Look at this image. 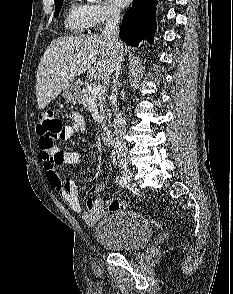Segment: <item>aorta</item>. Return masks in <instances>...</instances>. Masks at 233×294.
I'll return each mask as SVG.
<instances>
[{
	"label": "aorta",
	"instance_id": "obj_1",
	"mask_svg": "<svg viewBox=\"0 0 233 294\" xmlns=\"http://www.w3.org/2000/svg\"><path fill=\"white\" fill-rule=\"evenodd\" d=\"M90 3H100L101 0H87ZM113 126H115V123L113 124Z\"/></svg>",
	"mask_w": 233,
	"mask_h": 294
}]
</instances>
